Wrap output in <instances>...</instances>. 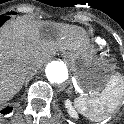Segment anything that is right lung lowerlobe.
<instances>
[{
	"label": "right lung lower lobe",
	"instance_id": "98d812e1",
	"mask_svg": "<svg viewBox=\"0 0 124 124\" xmlns=\"http://www.w3.org/2000/svg\"><path fill=\"white\" fill-rule=\"evenodd\" d=\"M9 19L8 16H1L0 17V27ZM12 110V107H7L6 109L2 110L3 114L8 113Z\"/></svg>",
	"mask_w": 124,
	"mask_h": 124
}]
</instances>
